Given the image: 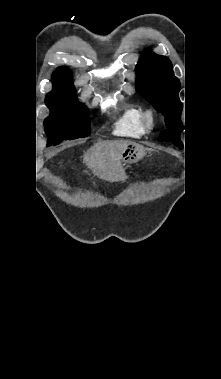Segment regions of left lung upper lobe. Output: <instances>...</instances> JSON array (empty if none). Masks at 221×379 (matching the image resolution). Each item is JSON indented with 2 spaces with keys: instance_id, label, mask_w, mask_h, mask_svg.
Masks as SVG:
<instances>
[{
  "instance_id": "left-lung-upper-lobe-1",
  "label": "left lung upper lobe",
  "mask_w": 221,
  "mask_h": 379,
  "mask_svg": "<svg viewBox=\"0 0 221 379\" xmlns=\"http://www.w3.org/2000/svg\"><path fill=\"white\" fill-rule=\"evenodd\" d=\"M135 70L136 90L164 115L169 128L160 133V139L182 147V103L178 97L180 81L174 76L170 60L148 49L142 53Z\"/></svg>"
}]
</instances>
